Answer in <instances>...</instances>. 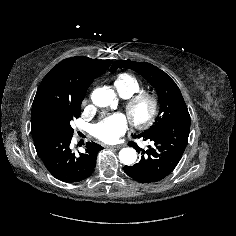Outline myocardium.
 Segmentation results:
<instances>
[{
    "mask_svg": "<svg viewBox=\"0 0 236 236\" xmlns=\"http://www.w3.org/2000/svg\"><path fill=\"white\" fill-rule=\"evenodd\" d=\"M140 104L147 105V112L144 116L137 118L134 112ZM124 108L132 125L136 128H144L155 120L159 111V100L152 93L138 92L127 98Z\"/></svg>",
    "mask_w": 236,
    "mask_h": 236,
    "instance_id": "f54148a6",
    "label": "myocardium"
}]
</instances>
